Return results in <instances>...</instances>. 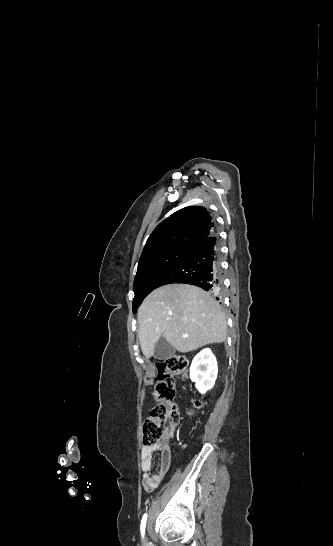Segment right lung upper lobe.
Here are the masks:
<instances>
[{"label":"right lung upper lobe","mask_w":333,"mask_h":546,"mask_svg":"<svg viewBox=\"0 0 333 546\" xmlns=\"http://www.w3.org/2000/svg\"><path fill=\"white\" fill-rule=\"evenodd\" d=\"M214 231V220L206 208L185 207L155 228L145 244L140 260L171 247H193Z\"/></svg>","instance_id":"1"}]
</instances>
